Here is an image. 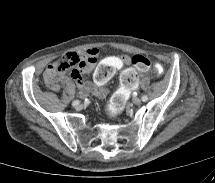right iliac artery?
Wrapping results in <instances>:
<instances>
[{
	"mask_svg": "<svg viewBox=\"0 0 215 183\" xmlns=\"http://www.w3.org/2000/svg\"><path fill=\"white\" fill-rule=\"evenodd\" d=\"M79 103H80V102H79L78 100H75V101L72 102V105H73V106H77Z\"/></svg>",
	"mask_w": 215,
	"mask_h": 183,
	"instance_id": "82829eb1",
	"label": "right iliac artery"
}]
</instances>
